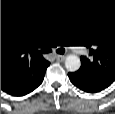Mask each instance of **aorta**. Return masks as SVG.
Masks as SVG:
<instances>
[{"mask_svg": "<svg viewBox=\"0 0 115 114\" xmlns=\"http://www.w3.org/2000/svg\"><path fill=\"white\" fill-rule=\"evenodd\" d=\"M81 66L80 58L76 55H68L65 60V67L70 72L77 71Z\"/></svg>", "mask_w": 115, "mask_h": 114, "instance_id": "762f6f07", "label": "aorta"}]
</instances>
